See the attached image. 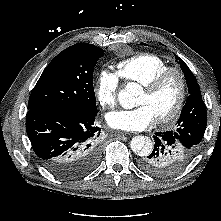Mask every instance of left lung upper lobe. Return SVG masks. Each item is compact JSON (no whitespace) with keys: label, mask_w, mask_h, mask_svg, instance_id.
Here are the masks:
<instances>
[{"label":"left lung upper lobe","mask_w":221,"mask_h":221,"mask_svg":"<svg viewBox=\"0 0 221 221\" xmlns=\"http://www.w3.org/2000/svg\"><path fill=\"white\" fill-rule=\"evenodd\" d=\"M175 57L185 75L189 91V96L176 123L175 132L180 134L190 147L197 150L206 129V106L195 76L182 59L176 55Z\"/></svg>","instance_id":"obj_1"}]
</instances>
